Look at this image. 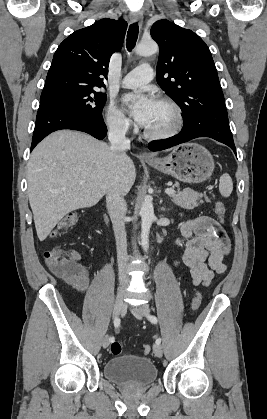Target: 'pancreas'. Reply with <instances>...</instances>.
<instances>
[{
  "label": "pancreas",
  "mask_w": 267,
  "mask_h": 419,
  "mask_svg": "<svg viewBox=\"0 0 267 419\" xmlns=\"http://www.w3.org/2000/svg\"><path fill=\"white\" fill-rule=\"evenodd\" d=\"M174 186L178 188V191L177 193L171 195V198L177 206H180L187 210H191L203 203V201L201 200V198L204 196L203 194L191 189H185L183 191H180L178 183H175ZM206 201H208L207 198Z\"/></svg>",
  "instance_id": "obj_1"
}]
</instances>
